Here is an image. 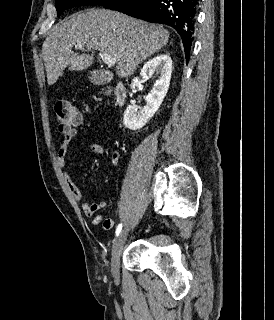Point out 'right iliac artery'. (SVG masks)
<instances>
[{
  "mask_svg": "<svg viewBox=\"0 0 274 320\" xmlns=\"http://www.w3.org/2000/svg\"><path fill=\"white\" fill-rule=\"evenodd\" d=\"M121 229H122V224L120 223L118 226H117V229H116V236H118L121 232Z\"/></svg>",
  "mask_w": 274,
  "mask_h": 320,
  "instance_id": "obj_1",
  "label": "right iliac artery"
}]
</instances>
